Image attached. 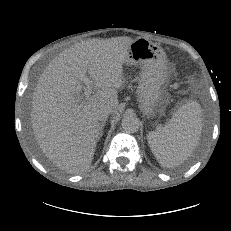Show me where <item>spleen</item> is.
I'll use <instances>...</instances> for the list:
<instances>
[{
	"label": "spleen",
	"mask_w": 231,
	"mask_h": 231,
	"mask_svg": "<svg viewBox=\"0 0 231 231\" xmlns=\"http://www.w3.org/2000/svg\"><path fill=\"white\" fill-rule=\"evenodd\" d=\"M201 132V107L191 101L182 105L165 126L149 132L147 140L158 163L163 167H174L193 153Z\"/></svg>",
	"instance_id": "obj_1"
}]
</instances>
